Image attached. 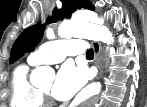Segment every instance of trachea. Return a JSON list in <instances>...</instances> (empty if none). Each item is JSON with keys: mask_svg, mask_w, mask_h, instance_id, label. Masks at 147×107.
<instances>
[{"mask_svg": "<svg viewBox=\"0 0 147 107\" xmlns=\"http://www.w3.org/2000/svg\"><path fill=\"white\" fill-rule=\"evenodd\" d=\"M94 57V53L92 50L88 51L87 54H86V58H90V59H93Z\"/></svg>", "mask_w": 147, "mask_h": 107, "instance_id": "1", "label": "trachea"}]
</instances>
